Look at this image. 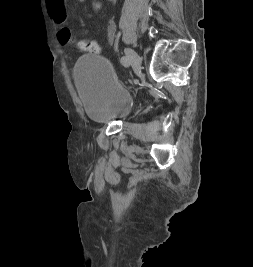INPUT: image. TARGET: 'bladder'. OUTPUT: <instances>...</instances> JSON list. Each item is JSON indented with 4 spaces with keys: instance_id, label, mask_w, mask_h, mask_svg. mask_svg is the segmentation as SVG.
I'll return each instance as SVG.
<instances>
[{
    "instance_id": "31cf9c89",
    "label": "bladder",
    "mask_w": 253,
    "mask_h": 267,
    "mask_svg": "<svg viewBox=\"0 0 253 267\" xmlns=\"http://www.w3.org/2000/svg\"><path fill=\"white\" fill-rule=\"evenodd\" d=\"M74 79L85 114L94 122H110L131 106L130 92L118 81L109 61L100 55L80 57Z\"/></svg>"
}]
</instances>
